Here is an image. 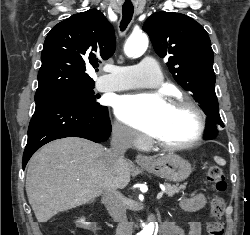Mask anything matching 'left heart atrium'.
Returning <instances> with one entry per match:
<instances>
[{
    "instance_id": "1",
    "label": "left heart atrium",
    "mask_w": 250,
    "mask_h": 235,
    "mask_svg": "<svg viewBox=\"0 0 250 235\" xmlns=\"http://www.w3.org/2000/svg\"><path fill=\"white\" fill-rule=\"evenodd\" d=\"M168 105L158 94L126 95L117 100L116 113L127 124L152 134Z\"/></svg>"
}]
</instances>
